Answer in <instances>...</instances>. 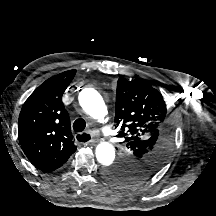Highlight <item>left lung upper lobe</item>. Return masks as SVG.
<instances>
[{
  "instance_id": "5c2ea615",
  "label": "left lung upper lobe",
  "mask_w": 216,
  "mask_h": 216,
  "mask_svg": "<svg viewBox=\"0 0 216 216\" xmlns=\"http://www.w3.org/2000/svg\"><path fill=\"white\" fill-rule=\"evenodd\" d=\"M115 122L124 148L103 175L114 186L132 187L151 178L164 164L174 141L173 120L161 93L150 83L119 78Z\"/></svg>"
}]
</instances>
